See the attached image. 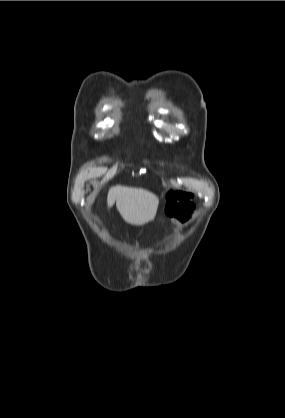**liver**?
I'll list each match as a JSON object with an SVG mask.
<instances>
[{
  "label": "liver",
  "instance_id": "obj_1",
  "mask_svg": "<svg viewBox=\"0 0 285 418\" xmlns=\"http://www.w3.org/2000/svg\"><path fill=\"white\" fill-rule=\"evenodd\" d=\"M116 201V207L122 218L129 224L142 226L154 220L159 199L141 188L115 186L110 188L107 196L108 208Z\"/></svg>",
  "mask_w": 285,
  "mask_h": 418
}]
</instances>
